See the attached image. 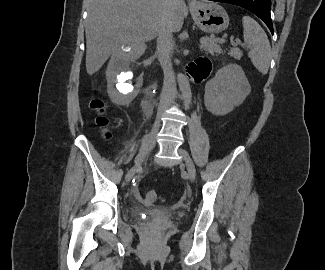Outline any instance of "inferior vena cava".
<instances>
[{
	"label": "inferior vena cava",
	"mask_w": 325,
	"mask_h": 270,
	"mask_svg": "<svg viewBox=\"0 0 325 270\" xmlns=\"http://www.w3.org/2000/svg\"><path fill=\"white\" fill-rule=\"evenodd\" d=\"M174 2H176V0H163V5L169 9ZM173 47L172 30L170 29L167 18L164 17L160 21L157 31V50L164 71V84L158 107V118H160V116L174 103L175 100L176 82L171 62Z\"/></svg>",
	"instance_id": "obj_1"
}]
</instances>
